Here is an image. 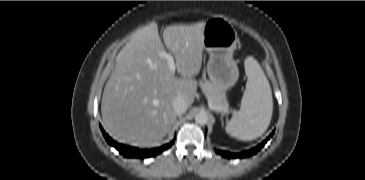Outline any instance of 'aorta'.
<instances>
[{
	"label": "aorta",
	"instance_id": "obj_1",
	"mask_svg": "<svg viewBox=\"0 0 365 180\" xmlns=\"http://www.w3.org/2000/svg\"><path fill=\"white\" fill-rule=\"evenodd\" d=\"M195 122L204 125L208 122V115L205 112H200L195 115Z\"/></svg>",
	"mask_w": 365,
	"mask_h": 180
}]
</instances>
